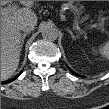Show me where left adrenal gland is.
<instances>
[{
	"label": "left adrenal gland",
	"instance_id": "obj_1",
	"mask_svg": "<svg viewBox=\"0 0 109 109\" xmlns=\"http://www.w3.org/2000/svg\"><path fill=\"white\" fill-rule=\"evenodd\" d=\"M67 31L70 33L73 40H75L78 37V36H75L74 33L69 28H67Z\"/></svg>",
	"mask_w": 109,
	"mask_h": 109
}]
</instances>
